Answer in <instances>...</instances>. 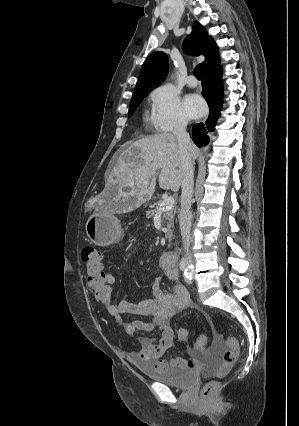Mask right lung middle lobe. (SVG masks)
<instances>
[{
	"label": "right lung middle lobe",
	"instance_id": "1",
	"mask_svg": "<svg viewBox=\"0 0 299 426\" xmlns=\"http://www.w3.org/2000/svg\"><path fill=\"white\" fill-rule=\"evenodd\" d=\"M148 93H149V91H140V92L133 94L132 99H131V103H130L129 113H128L129 118L133 115V113L135 112V110L137 109L139 104L141 103L142 99Z\"/></svg>",
	"mask_w": 299,
	"mask_h": 426
}]
</instances>
